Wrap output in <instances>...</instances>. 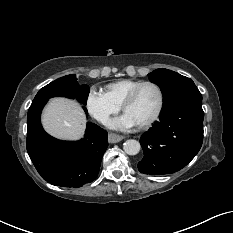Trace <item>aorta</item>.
<instances>
[{"label":"aorta","mask_w":233,"mask_h":233,"mask_svg":"<svg viewBox=\"0 0 233 233\" xmlns=\"http://www.w3.org/2000/svg\"><path fill=\"white\" fill-rule=\"evenodd\" d=\"M141 145L137 140L129 139L123 144V150L128 155H136L139 153Z\"/></svg>","instance_id":"762f6f07"}]
</instances>
